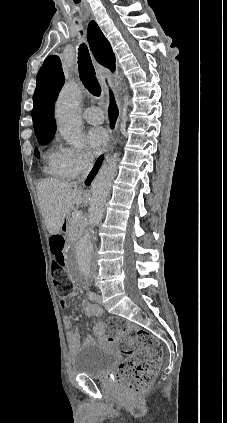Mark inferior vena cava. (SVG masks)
Instances as JSON below:
<instances>
[{
	"label": "inferior vena cava",
	"mask_w": 227,
	"mask_h": 423,
	"mask_svg": "<svg viewBox=\"0 0 227 423\" xmlns=\"http://www.w3.org/2000/svg\"><path fill=\"white\" fill-rule=\"evenodd\" d=\"M83 162H84V166H85L84 174H82L81 178H79V180H77V182H73V188H77L78 184H80V182H83V180H85L88 172H90V170L93 166L94 158H93V156H91V154H84Z\"/></svg>",
	"instance_id": "602c4592"
}]
</instances>
